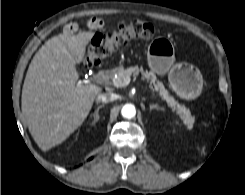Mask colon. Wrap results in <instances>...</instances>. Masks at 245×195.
<instances>
[{
    "instance_id": "colon-1",
    "label": "colon",
    "mask_w": 245,
    "mask_h": 195,
    "mask_svg": "<svg viewBox=\"0 0 245 195\" xmlns=\"http://www.w3.org/2000/svg\"><path fill=\"white\" fill-rule=\"evenodd\" d=\"M155 34L154 26L143 20L121 23L109 35H98L92 39L83 59V66L93 68L130 41H149Z\"/></svg>"
}]
</instances>
